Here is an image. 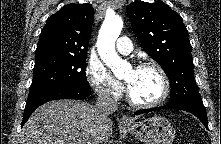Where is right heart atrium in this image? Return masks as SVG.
<instances>
[{
    "label": "right heart atrium",
    "mask_w": 221,
    "mask_h": 144,
    "mask_svg": "<svg viewBox=\"0 0 221 144\" xmlns=\"http://www.w3.org/2000/svg\"><path fill=\"white\" fill-rule=\"evenodd\" d=\"M85 75L91 88L103 99L118 100L124 91L123 85L97 59H90Z\"/></svg>",
    "instance_id": "obj_1"
}]
</instances>
